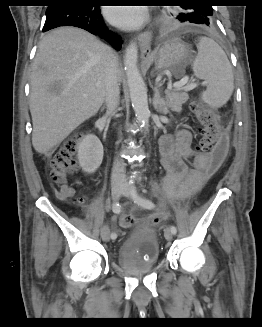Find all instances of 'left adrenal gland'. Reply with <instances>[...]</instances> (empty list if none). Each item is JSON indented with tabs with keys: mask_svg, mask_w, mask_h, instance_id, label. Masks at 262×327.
<instances>
[{
	"mask_svg": "<svg viewBox=\"0 0 262 327\" xmlns=\"http://www.w3.org/2000/svg\"><path fill=\"white\" fill-rule=\"evenodd\" d=\"M153 91H154V96H153V100H152L153 107L159 113L167 114L169 112L168 107H167V103H166L165 99L160 96V92H159L158 87L155 86L153 88Z\"/></svg>",
	"mask_w": 262,
	"mask_h": 327,
	"instance_id": "a2214340",
	"label": "left adrenal gland"
}]
</instances>
